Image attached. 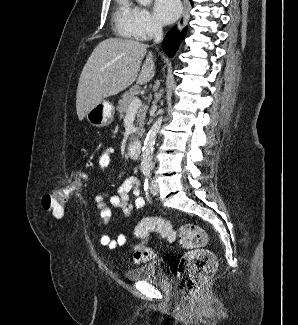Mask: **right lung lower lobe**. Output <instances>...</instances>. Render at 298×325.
<instances>
[{
    "instance_id": "1",
    "label": "right lung lower lobe",
    "mask_w": 298,
    "mask_h": 325,
    "mask_svg": "<svg viewBox=\"0 0 298 325\" xmlns=\"http://www.w3.org/2000/svg\"><path fill=\"white\" fill-rule=\"evenodd\" d=\"M191 5H193L192 0ZM186 28H184L181 32L176 29V27H173L166 35V38L163 42V49L166 53L169 54L170 57L174 55L176 50L179 47L180 41L184 38L186 34Z\"/></svg>"
}]
</instances>
